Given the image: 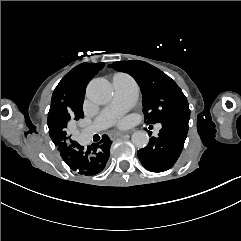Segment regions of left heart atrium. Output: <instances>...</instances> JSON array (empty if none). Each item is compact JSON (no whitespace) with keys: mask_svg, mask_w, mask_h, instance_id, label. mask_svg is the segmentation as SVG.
I'll use <instances>...</instances> for the list:
<instances>
[{"mask_svg":"<svg viewBox=\"0 0 241 241\" xmlns=\"http://www.w3.org/2000/svg\"><path fill=\"white\" fill-rule=\"evenodd\" d=\"M129 123H130V120L128 118H124L116 122V124L120 127H126L129 125Z\"/></svg>","mask_w":241,"mask_h":241,"instance_id":"left-heart-atrium-1","label":"left heart atrium"}]
</instances>
